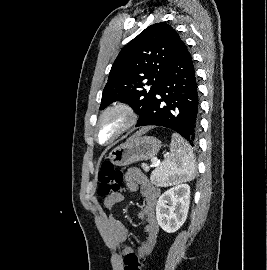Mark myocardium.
<instances>
[{"label": "myocardium", "mask_w": 267, "mask_h": 270, "mask_svg": "<svg viewBox=\"0 0 267 270\" xmlns=\"http://www.w3.org/2000/svg\"><path fill=\"white\" fill-rule=\"evenodd\" d=\"M115 112H121L124 114L126 120L122 128L107 142H101L98 136V130L103 119ZM137 114L135 109L128 103L118 102L106 107L99 115L94 127V137L96 141L101 145H110L117 141L120 137L130 131L137 122Z\"/></svg>", "instance_id": "f54148a6"}]
</instances>
